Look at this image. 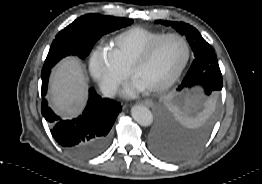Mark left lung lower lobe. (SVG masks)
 <instances>
[{
    "instance_id": "left-lung-lower-lobe-1",
    "label": "left lung lower lobe",
    "mask_w": 262,
    "mask_h": 184,
    "mask_svg": "<svg viewBox=\"0 0 262 184\" xmlns=\"http://www.w3.org/2000/svg\"><path fill=\"white\" fill-rule=\"evenodd\" d=\"M190 69L194 70V76L202 74L203 78L205 74V76L222 78L215 53H207L195 58ZM208 132V129H203L193 135H179L168 120L162 114H158L150 132L149 149L154 156L163 161H180L194 155L202 148Z\"/></svg>"
}]
</instances>
